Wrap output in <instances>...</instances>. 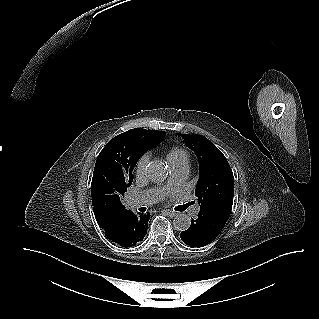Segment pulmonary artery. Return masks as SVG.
Instances as JSON below:
<instances>
[{"mask_svg": "<svg viewBox=\"0 0 319 319\" xmlns=\"http://www.w3.org/2000/svg\"><path fill=\"white\" fill-rule=\"evenodd\" d=\"M173 176L176 179V181L181 182L185 180L188 176L189 172V163L188 161H183L178 163L177 165L172 167ZM163 196V192H158L156 194H153L152 192H144L142 194L132 196L129 199V205L131 208H139L141 206L150 204L154 201H156L158 198H161ZM199 208L197 207L195 209V213L198 212Z\"/></svg>", "mask_w": 319, "mask_h": 319, "instance_id": "e3ab8cb5", "label": "pulmonary artery"}]
</instances>
